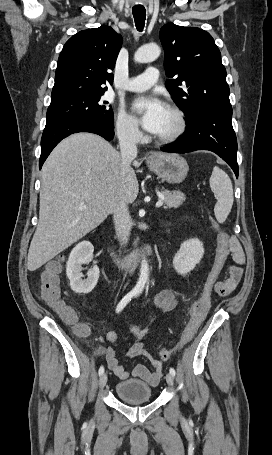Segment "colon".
I'll list each match as a JSON object with an SVG mask.
<instances>
[{
    "label": "colon",
    "mask_w": 272,
    "mask_h": 455,
    "mask_svg": "<svg viewBox=\"0 0 272 455\" xmlns=\"http://www.w3.org/2000/svg\"><path fill=\"white\" fill-rule=\"evenodd\" d=\"M215 229L217 231L215 259L210 271L208 272L200 297L190 308V319L182 332L179 341L174 345V347L159 351L158 356L161 361L169 359L174 352L188 344L197 333L207 315L214 293V285L219 280L221 272L223 271L230 254V238L228 233L218 224H215ZM60 271L61 264L58 260L47 265L46 270L41 276L40 294L42 299L54 308L65 321L76 323L77 318L74 310L66 305L63 300V290L59 279ZM75 330L81 335H85L88 332L87 327L83 324H76Z\"/></svg>",
    "instance_id": "5ec220e1"
}]
</instances>
